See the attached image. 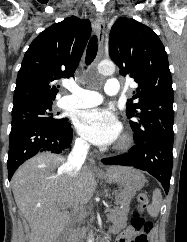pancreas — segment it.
Segmentation results:
<instances>
[{"instance_id": "cf45deb5", "label": "pancreas", "mask_w": 187, "mask_h": 242, "mask_svg": "<svg viewBox=\"0 0 187 242\" xmlns=\"http://www.w3.org/2000/svg\"><path fill=\"white\" fill-rule=\"evenodd\" d=\"M108 219L111 221V222H114L116 216H120V215H123L122 212L119 210V209H112V210H109L108 211ZM88 214L87 213H84L82 216L85 217L87 216ZM91 221H93V219H91ZM86 232H87V228L85 226H83L81 229H78V236L80 239H83L86 235Z\"/></svg>"}]
</instances>
